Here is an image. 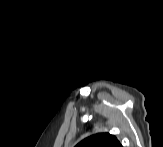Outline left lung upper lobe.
Listing matches in <instances>:
<instances>
[{"mask_svg":"<svg viewBox=\"0 0 163 147\" xmlns=\"http://www.w3.org/2000/svg\"><path fill=\"white\" fill-rule=\"evenodd\" d=\"M119 141L109 133H98L85 138L76 147H118Z\"/></svg>","mask_w":163,"mask_h":147,"instance_id":"1","label":"left lung upper lobe"}]
</instances>
